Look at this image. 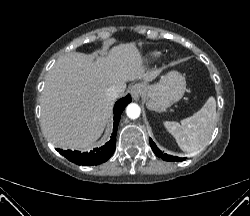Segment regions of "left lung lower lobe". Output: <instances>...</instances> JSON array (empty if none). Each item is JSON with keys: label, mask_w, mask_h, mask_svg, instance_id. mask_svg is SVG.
<instances>
[{"label": "left lung lower lobe", "mask_w": 250, "mask_h": 216, "mask_svg": "<svg viewBox=\"0 0 250 216\" xmlns=\"http://www.w3.org/2000/svg\"><path fill=\"white\" fill-rule=\"evenodd\" d=\"M150 141V146L153 150V152L158 156V157H161L163 160H166V161H182L184 158H179V157H176V156H170V155H167V154H163L159 148H157V146L155 145V143L152 141V139L150 138L149 139Z\"/></svg>", "instance_id": "left-lung-lower-lobe-1"}]
</instances>
